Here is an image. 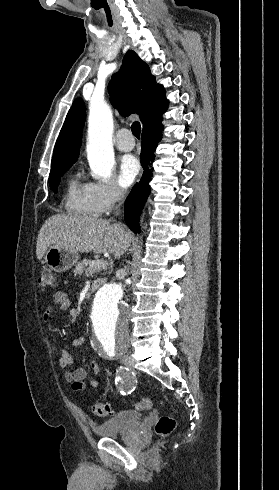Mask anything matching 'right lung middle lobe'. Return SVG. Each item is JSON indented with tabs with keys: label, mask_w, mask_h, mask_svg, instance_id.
<instances>
[{
	"label": "right lung middle lobe",
	"mask_w": 279,
	"mask_h": 490,
	"mask_svg": "<svg viewBox=\"0 0 279 490\" xmlns=\"http://www.w3.org/2000/svg\"><path fill=\"white\" fill-rule=\"evenodd\" d=\"M72 165L60 167L57 169H54L50 172L49 176V185L50 188L54 191L57 192V187L60 181V177L71 167Z\"/></svg>",
	"instance_id": "dd1d6c3e"
}]
</instances>
